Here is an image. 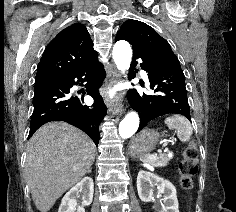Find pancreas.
<instances>
[{
  "instance_id": "1",
  "label": "pancreas",
  "mask_w": 236,
  "mask_h": 212,
  "mask_svg": "<svg viewBox=\"0 0 236 212\" xmlns=\"http://www.w3.org/2000/svg\"><path fill=\"white\" fill-rule=\"evenodd\" d=\"M172 159V156H168V155H161L158 158V162L160 163V165L162 166H166L168 164V162Z\"/></svg>"
}]
</instances>
